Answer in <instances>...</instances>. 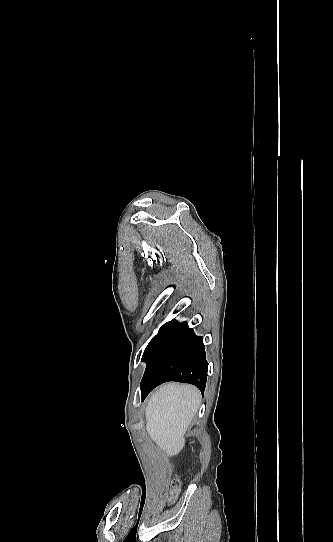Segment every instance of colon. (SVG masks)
Here are the masks:
<instances>
[{
    "label": "colon",
    "mask_w": 333,
    "mask_h": 542,
    "mask_svg": "<svg viewBox=\"0 0 333 542\" xmlns=\"http://www.w3.org/2000/svg\"><path fill=\"white\" fill-rule=\"evenodd\" d=\"M179 490H180V482L178 480H174L172 483V489L169 492V497H168L169 503L173 502L177 498Z\"/></svg>",
    "instance_id": "1"
}]
</instances>
